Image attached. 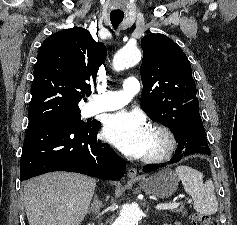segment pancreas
Listing matches in <instances>:
<instances>
[{
	"instance_id": "obj_1",
	"label": "pancreas",
	"mask_w": 237,
	"mask_h": 225,
	"mask_svg": "<svg viewBox=\"0 0 237 225\" xmlns=\"http://www.w3.org/2000/svg\"><path fill=\"white\" fill-rule=\"evenodd\" d=\"M173 212L178 213V214H186V211H184L183 207L173 209Z\"/></svg>"
}]
</instances>
